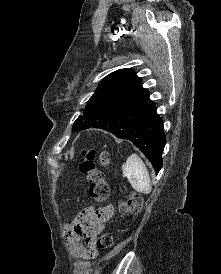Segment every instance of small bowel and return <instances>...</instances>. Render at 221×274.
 Instances as JSON below:
<instances>
[{
  "label": "small bowel",
  "mask_w": 221,
  "mask_h": 274,
  "mask_svg": "<svg viewBox=\"0 0 221 274\" xmlns=\"http://www.w3.org/2000/svg\"><path fill=\"white\" fill-rule=\"evenodd\" d=\"M113 213L114 207L110 204L100 208L87 207L66 225L65 233L73 256L87 260L98 255V234Z\"/></svg>",
  "instance_id": "1"
}]
</instances>
